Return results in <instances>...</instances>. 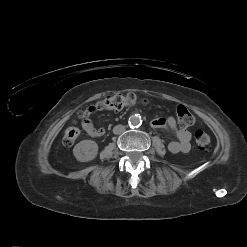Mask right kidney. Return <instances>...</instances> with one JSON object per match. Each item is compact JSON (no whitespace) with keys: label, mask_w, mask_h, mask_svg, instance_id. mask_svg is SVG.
Returning a JSON list of instances; mask_svg holds the SVG:
<instances>
[{"label":"right kidney","mask_w":247,"mask_h":247,"mask_svg":"<svg viewBox=\"0 0 247 247\" xmlns=\"http://www.w3.org/2000/svg\"><path fill=\"white\" fill-rule=\"evenodd\" d=\"M73 154L80 162L91 161L98 154V145L92 140H83L74 146Z\"/></svg>","instance_id":"ca27d5eb"}]
</instances>
